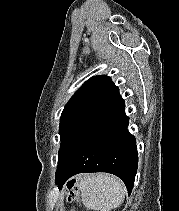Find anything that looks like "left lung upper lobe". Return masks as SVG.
I'll return each instance as SVG.
<instances>
[{
	"label": "left lung upper lobe",
	"mask_w": 179,
	"mask_h": 211,
	"mask_svg": "<svg viewBox=\"0 0 179 211\" xmlns=\"http://www.w3.org/2000/svg\"><path fill=\"white\" fill-rule=\"evenodd\" d=\"M119 96L118 87L106 75L85 82L65 105L60 118V140L56 174L71 162L101 113Z\"/></svg>",
	"instance_id": "obj_1"
}]
</instances>
